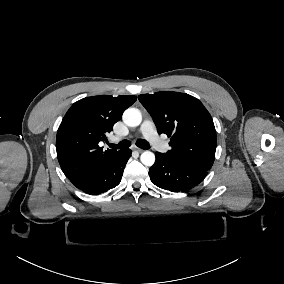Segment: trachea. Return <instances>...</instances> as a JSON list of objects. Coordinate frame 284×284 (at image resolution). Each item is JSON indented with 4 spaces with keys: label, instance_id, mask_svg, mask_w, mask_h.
I'll return each mask as SVG.
<instances>
[{
    "label": "trachea",
    "instance_id": "trachea-1",
    "mask_svg": "<svg viewBox=\"0 0 284 284\" xmlns=\"http://www.w3.org/2000/svg\"><path fill=\"white\" fill-rule=\"evenodd\" d=\"M108 145H109L110 148H113V149H126V148L131 146V142L129 140H123V141H121L118 144H110V143H108ZM136 145L139 148L145 149V150L150 148L149 143L146 140H144V139L137 140Z\"/></svg>",
    "mask_w": 284,
    "mask_h": 284
}]
</instances>
